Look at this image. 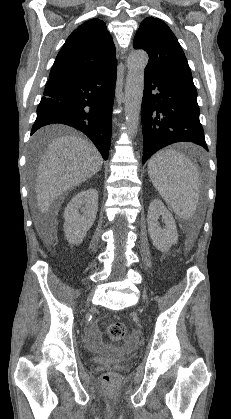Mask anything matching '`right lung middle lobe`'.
Masks as SVG:
<instances>
[{"label": "right lung middle lobe", "mask_w": 231, "mask_h": 419, "mask_svg": "<svg viewBox=\"0 0 231 419\" xmlns=\"http://www.w3.org/2000/svg\"><path fill=\"white\" fill-rule=\"evenodd\" d=\"M34 145H35V147H39L41 145V143H39V141H34Z\"/></svg>", "instance_id": "dd1d6c3e"}]
</instances>
